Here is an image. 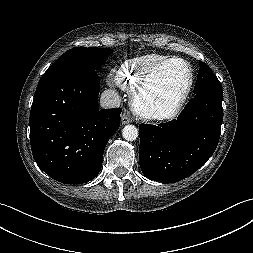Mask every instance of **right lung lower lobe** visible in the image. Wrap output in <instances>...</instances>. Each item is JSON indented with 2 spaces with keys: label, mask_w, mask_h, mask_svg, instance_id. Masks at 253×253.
I'll list each match as a JSON object with an SVG mask.
<instances>
[{
  "label": "right lung lower lobe",
  "mask_w": 253,
  "mask_h": 253,
  "mask_svg": "<svg viewBox=\"0 0 253 253\" xmlns=\"http://www.w3.org/2000/svg\"><path fill=\"white\" fill-rule=\"evenodd\" d=\"M96 73L78 71L39 81L30 112V141L37 165L66 184L94 179L121 108L99 109Z\"/></svg>",
  "instance_id": "right-lung-lower-lobe-1"
}]
</instances>
